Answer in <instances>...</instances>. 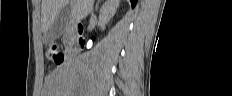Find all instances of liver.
<instances>
[{"mask_svg": "<svg viewBox=\"0 0 232 96\" xmlns=\"http://www.w3.org/2000/svg\"><path fill=\"white\" fill-rule=\"evenodd\" d=\"M71 1L72 12L70 21L77 23L84 19L90 12L94 0H42L41 5V30L46 33L54 22L60 10Z\"/></svg>", "mask_w": 232, "mask_h": 96, "instance_id": "1", "label": "liver"}]
</instances>
